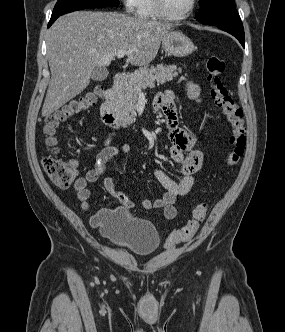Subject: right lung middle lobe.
<instances>
[{
    "label": "right lung middle lobe",
    "mask_w": 285,
    "mask_h": 332,
    "mask_svg": "<svg viewBox=\"0 0 285 332\" xmlns=\"http://www.w3.org/2000/svg\"><path fill=\"white\" fill-rule=\"evenodd\" d=\"M118 5L119 0H58L52 15H62L80 9Z\"/></svg>",
    "instance_id": "right-lung-middle-lobe-1"
}]
</instances>
